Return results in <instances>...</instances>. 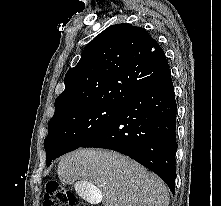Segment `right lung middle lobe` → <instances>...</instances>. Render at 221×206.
Here are the masks:
<instances>
[{
    "label": "right lung middle lobe",
    "mask_w": 221,
    "mask_h": 206,
    "mask_svg": "<svg viewBox=\"0 0 221 206\" xmlns=\"http://www.w3.org/2000/svg\"><path fill=\"white\" fill-rule=\"evenodd\" d=\"M122 105L93 103L54 114L44 140L46 163L73 151L105 128L119 113Z\"/></svg>",
    "instance_id": "1"
}]
</instances>
